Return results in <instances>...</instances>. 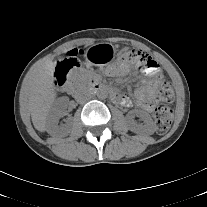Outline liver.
<instances>
[{
    "label": "liver",
    "mask_w": 207,
    "mask_h": 207,
    "mask_svg": "<svg viewBox=\"0 0 207 207\" xmlns=\"http://www.w3.org/2000/svg\"><path fill=\"white\" fill-rule=\"evenodd\" d=\"M54 67L53 59H46L27 74L22 86L21 93L31 112L32 123L40 132L46 131L47 117L57 95Z\"/></svg>",
    "instance_id": "obj_1"
}]
</instances>
